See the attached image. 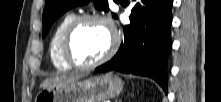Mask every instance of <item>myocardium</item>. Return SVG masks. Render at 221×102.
I'll use <instances>...</instances> for the list:
<instances>
[{
    "instance_id": "obj_1",
    "label": "myocardium",
    "mask_w": 221,
    "mask_h": 102,
    "mask_svg": "<svg viewBox=\"0 0 221 102\" xmlns=\"http://www.w3.org/2000/svg\"><path fill=\"white\" fill-rule=\"evenodd\" d=\"M85 21H97L106 26L110 34V44L106 52L94 62L88 64H79L75 62L70 56L69 46L72 34L76 27ZM119 34L113 24V22L107 16L100 13H83L72 19L68 24L61 43V54L64 61L71 67L79 70H90L96 68L106 61H108L116 52L119 46Z\"/></svg>"
}]
</instances>
